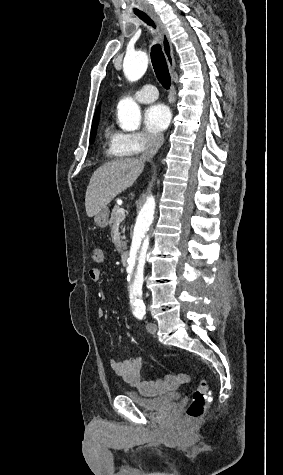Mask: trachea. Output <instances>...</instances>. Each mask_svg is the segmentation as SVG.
Instances as JSON below:
<instances>
[{"label":"trachea","instance_id":"1","mask_svg":"<svg viewBox=\"0 0 283 475\" xmlns=\"http://www.w3.org/2000/svg\"><path fill=\"white\" fill-rule=\"evenodd\" d=\"M135 15L143 20L145 23L150 25L151 27L155 28V25L152 20L146 15L144 12H135ZM151 61L154 68V72L156 74L157 79L161 83V85L168 90L171 86V77L167 65L166 58L162 51L161 45L156 43L151 48Z\"/></svg>","mask_w":283,"mask_h":475}]
</instances>
